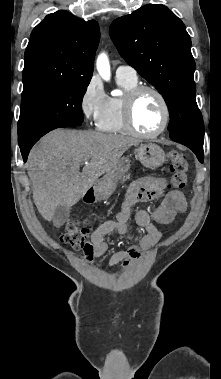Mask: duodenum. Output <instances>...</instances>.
Returning a JSON list of instances; mask_svg holds the SVG:
<instances>
[{"label": "duodenum", "instance_id": "obj_1", "mask_svg": "<svg viewBox=\"0 0 221 379\" xmlns=\"http://www.w3.org/2000/svg\"><path fill=\"white\" fill-rule=\"evenodd\" d=\"M87 195L90 196V197H92V195H93L92 190H90Z\"/></svg>", "mask_w": 221, "mask_h": 379}]
</instances>
